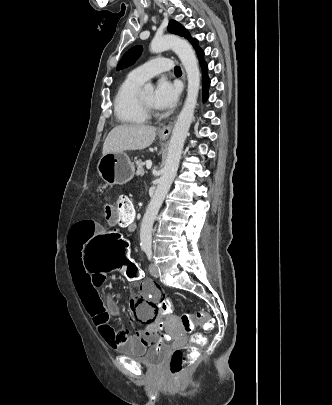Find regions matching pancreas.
<instances>
[{
	"mask_svg": "<svg viewBox=\"0 0 332 405\" xmlns=\"http://www.w3.org/2000/svg\"><path fill=\"white\" fill-rule=\"evenodd\" d=\"M136 166H137V171H136V175L138 177H142L145 174V170L143 168V166L145 165V163L141 160H136Z\"/></svg>",
	"mask_w": 332,
	"mask_h": 405,
	"instance_id": "1",
	"label": "pancreas"
}]
</instances>
